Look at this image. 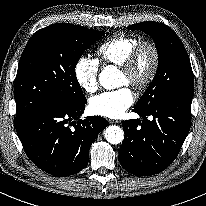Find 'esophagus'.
Wrapping results in <instances>:
<instances>
[{
    "instance_id": "esophagus-1",
    "label": "esophagus",
    "mask_w": 206,
    "mask_h": 206,
    "mask_svg": "<svg viewBox=\"0 0 206 206\" xmlns=\"http://www.w3.org/2000/svg\"><path fill=\"white\" fill-rule=\"evenodd\" d=\"M108 121L109 123H115V124L120 122L119 120H113V119H109Z\"/></svg>"
}]
</instances>
